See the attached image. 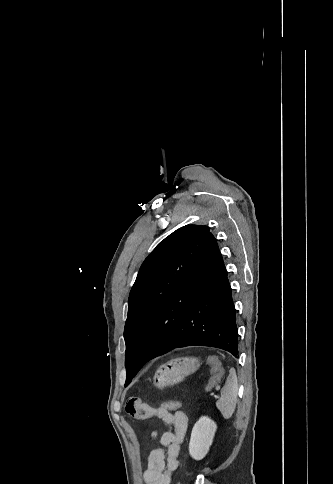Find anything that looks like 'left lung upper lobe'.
<instances>
[{"mask_svg":"<svg viewBox=\"0 0 333 484\" xmlns=\"http://www.w3.org/2000/svg\"><path fill=\"white\" fill-rule=\"evenodd\" d=\"M208 233L209 228L206 226H183L161 241L141 265L129 295L124 329L125 385L131 382L142 367L140 363L137 366L136 354L158 308L165 300H173L170 296L172 286Z\"/></svg>","mask_w":333,"mask_h":484,"instance_id":"left-lung-upper-lobe-1","label":"left lung upper lobe"}]
</instances>
